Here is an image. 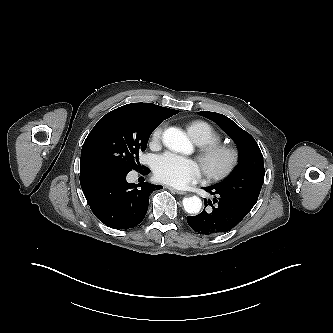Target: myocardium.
<instances>
[{
	"label": "myocardium",
	"mask_w": 333,
	"mask_h": 333,
	"mask_svg": "<svg viewBox=\"0 0 333 333\" xmlns=\"http://www.w3.org/2000/svg\"><path fill=\"white\" fill-rule=\"evenodd\" d=\"M223 159L219 165L216 162ZM203 172L209 180L221 181L229 177L241 162L240 150L232 145L211 144L203 146L199 153Z\"/></svg>",
	"instance_id": "myocardium-1"
}]
</instances>
